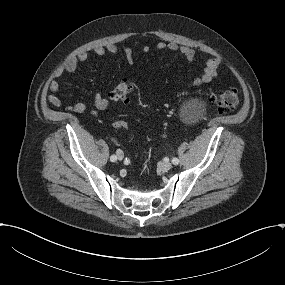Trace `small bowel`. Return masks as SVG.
Masks as SVG:
<instances>
[{
    "mask_svg": "<svg viewBox=\"0 0 285 285\" xmlns=\"http://www.w3.org/2000/svg\"><path fill=\"white\" fill-rule=\"evenodd\" d=\"M150 48L145 46L143 48V53L147 54ZM156 50H168L173 53H178L182 55L189 63H194L196 61V52L193 48L189 46H180L177 43H166L159 42L156 45ZM92 51L98 56H104L110 54L115 56L119 53V48L113 43H109L104 46H96ZM123 53L126 61L129 64L133 63V50L130 47H125ZM88 59L87 52H80L76 55L70 56L66 59L53 73L52 79L49 83L50 94L47 97L49 103L56 107H63L64 104L59 97L60 83L61 80L66 74L74 72L78 65L86 62ZM221 65L220 59L216 57L208 58L204 61V67L202 73L189 83L190 87H197L203 84L211 82L218 74L219 68ZM96 109L91 110L92 115H97L99 110H104L109 107L110 100L104 97L101 94H97L94 99ZM66 110L72 111L75 113H83L86 111V105L82 102H76L71 105L64 106Z\"/></svg>",
    "mask_w": 285,
    "mask_h": 285,
    "instance_id": "c3829d8e",
    "label": "small bowel"
}]
</instances>
